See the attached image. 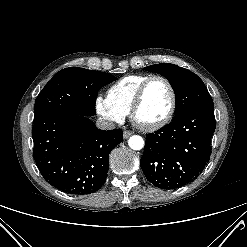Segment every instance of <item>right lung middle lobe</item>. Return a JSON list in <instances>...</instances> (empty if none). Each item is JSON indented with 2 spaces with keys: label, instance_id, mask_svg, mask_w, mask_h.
Returning a JSON list of instances; mask_svg holds the SVG:
<instances>
[{
  "label": "right lung middle lobe",
  "instance_id": "right-lung-middle-lobe-1",
  "mask_svg": "<svg viewBox=\"0 0 247 247\" xmlns=\"http://www.w3.org/2000/svg\"><path fill=\"white\" fill-rule=\"evenodd\" d=\"M116 79L108 73L79 67L63 69L39 93L34 119L58 111L93 116L98 90Z\"/></svg>",
  "mask_w": 247,
  "mask_h": 247
}]
</instances>
